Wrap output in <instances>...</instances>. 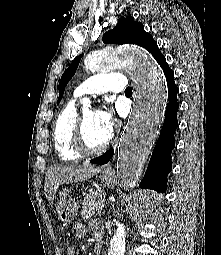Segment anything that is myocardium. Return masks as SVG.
I'll return each mask as SVG.
<instances>
[{
  "label": "myocardium",
  "mask_w": 221,
  "mask_h": 255,
  "mask_svg": "<svg viewBox=\"0 0 221 255\" xmlns=\"http://www.w3.org/2000/svg\"><path fill=\"white\" fill-rule=\"evenodd\" d=\"M114 140V131L113 129L110 130V135L107 141L101 145L98 148H90L86 142L85 134H84V115L79 116L75 133H74V145L76 150L82 155V156H94L99 155L103 152H105L109 146L112 144Z\"/></svg>",
  "instance_id": "myocardium-1"
}]
</instances>
